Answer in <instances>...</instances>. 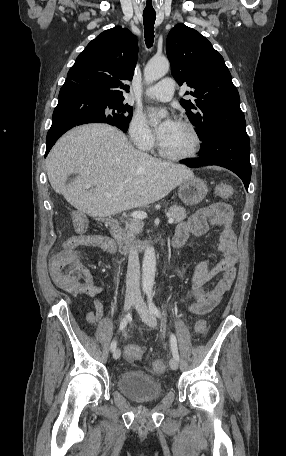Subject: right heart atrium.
Here are the masks:
<instances>
[{"mask_svg": "<svg viewBox=\"0 0 286 456\" xmlns=\"http://www.w3.org/2000/svg\"><path fill=\"white\" fill-rule=\"evenodd\" d=\"M128 133L132 143L141 150H149L155 144V136L142 113L133 114L129 122Z\"/></svg>", "mask_w": 286, "mask_h": 456, "instance_id": "1", "label": "right heart atrium"}]
</instances>
